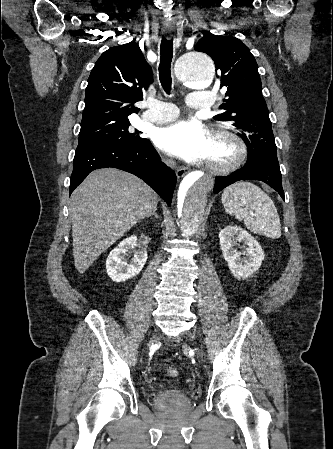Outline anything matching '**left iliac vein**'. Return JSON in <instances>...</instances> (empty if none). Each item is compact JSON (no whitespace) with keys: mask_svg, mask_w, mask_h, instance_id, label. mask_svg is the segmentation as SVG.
<instances>
[{"mask_svg":"<svg viewBox=\"0 0 333 449\" xmlns=\"http://www.w3.org/2000/svg\"><path fill=\"white\" fill-rule=\"evenodd\" d=\"M197 356H198V357H200V353H199V351H197Z\"/></svg>","mask_w":333,"mask_h":449,"instance_id":"4c4485c4","label":"left iliac vein"}]
</instances>
